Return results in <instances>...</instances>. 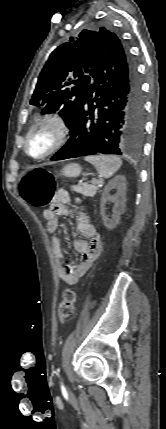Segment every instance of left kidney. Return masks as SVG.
Instances as JSON below:
<instances>
[{"label":"left kidney","instance_id":"left-kidney-1","mask_svg":"<svg viewBox=\"0 0 166 429\" xmlns=\"http://www.w3.org/2000/svg\"><path fill=\"white\" fill-rule=\"evenodd\" d=\"M114 188H117V193L114 196H111L109 192ZM107 201H112L115 203L113 207V216L111 219H109L105 213V204ZM125 203L126 178L122 175H118L108 182L101 196V215L103 224L107 229L112 230L119 224L120 216L125 212L126 209Z\"/></svg>","mask_w":166,"mask_h":429}]
</instances>
